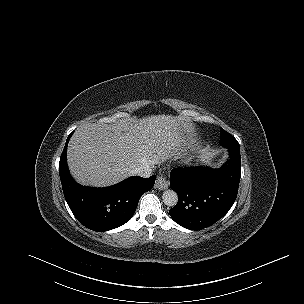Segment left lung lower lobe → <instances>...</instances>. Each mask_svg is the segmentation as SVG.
<instances>
[{
	"label": "left lung lower lobe",
	"mask_w": 304,
	"mask_h": 304,
	"mask_svg": "<svg viewBox=\"0 0 304 304\" xmlns=\"http://www.w3.org/2000/svg\"><path fill=\"white\" fill-rule=\"evenodd\" d=\"M227 148L230 159L219 169L187 167L171 171L170 187L178 194V203L169 213L182 227H209L234 204L241 177L240 147Z\"/></svg>",
	"instance_id": "0a47b994"
}]
</instances>
